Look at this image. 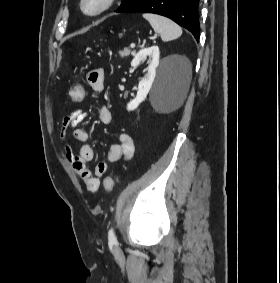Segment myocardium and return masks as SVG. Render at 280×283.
Listing matches in <instances>:
<instances>
[{
  "mask_svg": "<svg viewBox=\"0 0 280 283\" xmlns=\"http://www.w3.org/2000/svg\"><path fill=\"white\" fill-rule=\"evenodd\" d=\"M115 2L116 0H98L97 6L89 10L87 9L88 0H80V10L86 16L96 17L111 9Z\"/></svg>",
  "mask_w": 280,
  "mask_h": 283,
  "instance_id": "obj_1",
  "label": "myocardium"
}]
</instances>
